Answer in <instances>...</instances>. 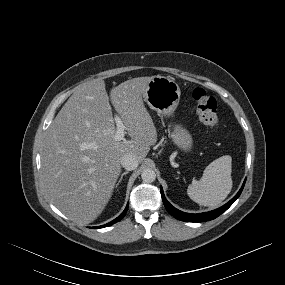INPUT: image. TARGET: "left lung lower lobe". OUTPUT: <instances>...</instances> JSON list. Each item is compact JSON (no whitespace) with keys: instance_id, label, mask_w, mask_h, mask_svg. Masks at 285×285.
Instances as JSON below:
<instances>
[{"instance_id":"0a47b994","label":"left lung lower lobe","mask_w":285,"mask_h":285,"mask_svg":"<svg viewBox=\"0 0 285 285\" xmlns=\"http://www.w3.org/2000/svg\"><path fill=\"white\" fill-rule=\"evenodd\" d=\"M246 179L241 187V189L239 190V192L228 202L226 203L224 206L210 211V212H206V213H200V214H189V213H185L182 212L176 208H174L165 198L162 187H160V191H161V196H162V200L163 203L167 209V211L174 216L175 218L181 220V221H186V222H203V221H209V220H213L216 217H218L219 215H221L225 210H227L233 203L234 201L240 196L244 185H245Z\"/></svg>"}]
</instances>
